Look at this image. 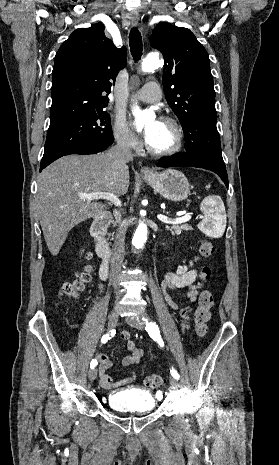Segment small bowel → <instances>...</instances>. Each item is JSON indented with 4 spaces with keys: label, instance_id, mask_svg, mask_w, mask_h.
<instances>
[{
    "label": "small bowel",
    "instance_id": "small-bowel-1",
    "mask_svg": "<svg viewBox=\"0 0 279 465\" xmlns=\"http://www.w3.org/2000/svg\"><path fill=\"white\" fill-rule=\"evenodd\" d=\"M200 260L195 256L188 263L179 265L174 271L166 273L164 280V288L184 289L186 291V299L195 301L197 299L198 290L202 284L198 281L199 271L194 268V265ZM167 301L172 308H179V305L172 299L167 297ZM191 307L181 308L179 311V321L183 331L187 330L190 325ZM121 341L125 344L128 351L122 361L125 367L138 365L144 355V351L138 348L134 341L130 339L128 332L121 334ZM96 359L99 362V381L100 385L105 389H115L133 382L136 378L135 373L121 380H113L107 371L113 366V362L107 354L97 353ZM95 359V360H96Z\"/></svg>",
    "mask_w": 279,
    "mask_h": 465
}]
</instances>
